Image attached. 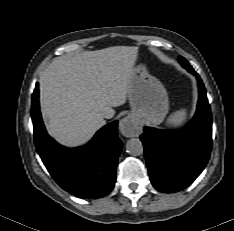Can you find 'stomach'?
<instances>
[{
  "label": "stomach",
  "mask_w": 234,
  "mask_h": 231,
  "mask_svg": "<svg viewBox=\"0 0 234 231\" xmlns=\"http://www.w3.org/2000/svg\"><path fill=\"white\" fill-rule=\"evenodd\" d=\"M128 98L136 119L157 123L169 109L167 92L161 82L151 76L143 65L129 72Z\"/></svg>",
  "instance_id": "1"
}]
</instances>
